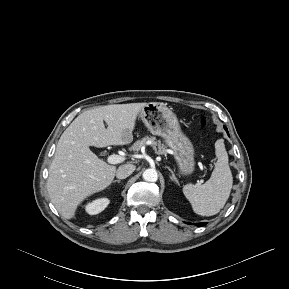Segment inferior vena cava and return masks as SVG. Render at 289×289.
<instances>
[{"label": "inferior vena cava", "instance_id": "1", "mask_svg": "<svg viewBox=\"0 0 289 289\" xmlns=\"http://www.w3.org/2000/svg\"><path fill=\"white\" fill-rule=\"evenodd\" d=\"M136 167L133 164H126L120 166L116 171V177L118 179H125L128 176H130L134 171Z\"/></svg>", "mask_w": 289, "mask_h": 289}]
</instances>
